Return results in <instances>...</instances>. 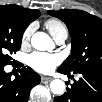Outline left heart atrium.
Instances as JSON below:
<instances>
[{
	"mask_svg": "<svg viewBox=\"0 0 102 102\" xmlns=\"http://www.w3.org/2000/svg\"><path fill=\"white\" fill-rule=\"evenodd\" d=\"M28 62L37 72L49 73L59 64L60 57L57 54L35 52L29 56Z\"/></svg>",
	"mask_w": 102,
	"mask_h": 102,
	"instance_id": "1",
	"label": "left heart atrium"
}]
</instances>
